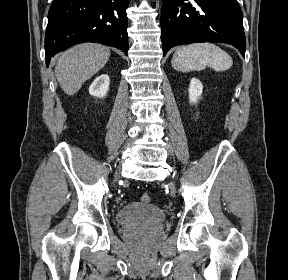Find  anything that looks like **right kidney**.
Wrapping results in <instances>:
<instances>
[{
  "label": "right kidney",
  "mask_w": 288,
  "mask_h": 280,
  "mask_svg": "<svg viewBox=\"0 0 288 280\" xmlns=\"http://www.w3.org/2000/svg\"><path fill=\"white\" fill-rule=\"evenodd\" d=\"M109 89V76L102 74L97 77L89 87L90 95H93L98 98L106 96Z\"/></svg>",
  "instance_id": "ca27d5eb"
}]
</instances>
